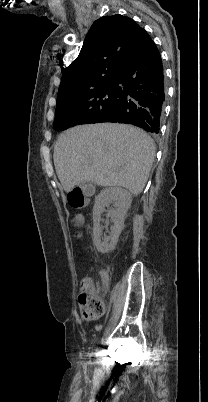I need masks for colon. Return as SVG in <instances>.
<instances>
[{
	"mask_svg": "<svg viewBox=\"0 0 208 402\" xmlns=\"http://www.w3.org/2000/svg\"><path fill=\"white\" fill-rule=\"evenodd\" d=\"M70 225L75 229L73 237L78 239L83 237L84 221L82 217L77 214L70 220ZM100 286H107L109 280L107 277H84L80 285L81 293L79 295V313L80 314H104L105 306L103 299H99Z\"/></svg>",
	"mask_w": 208,
	"mask_h": 402,
	"instance_id": "colon-1",
	"label": "colon"
}]
</instances>
